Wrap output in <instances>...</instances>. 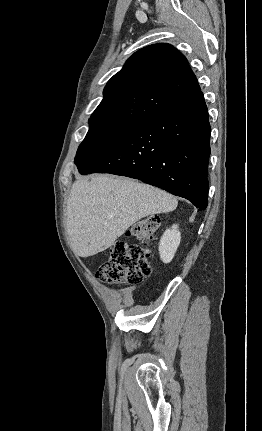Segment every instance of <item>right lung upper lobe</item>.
<instances>
[{
	"instance_id": "1",
	"label": "right lung upper lobe",
	"mask_w": 262,
	"mask_h": 431,
	"mask_svg": "<svg viewBox=\"0 0 262 431\" xmlns=\"http://www.w3.org/2000/svg\"><path fill=\"white\" fill-rule=\"evenodd\" d=\"M201 92L187 59L160 43L134 53L104 89L89 124L138 123Z\"/></svg>"
}]
</instances>
